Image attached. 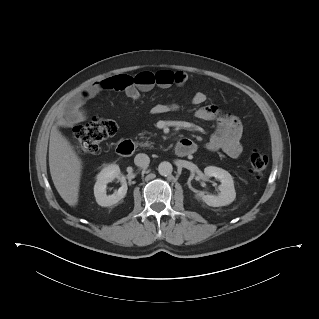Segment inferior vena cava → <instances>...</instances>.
I'll list each match as a JSON object with an SVG mask.
<instances>
[{
    "label": "inferior vena cava",
    "mask_w": 319,
    "mask_h": 319,
    "mask_svg": "<svg viewBox=\"0 0 319 319\" xmlns=\"http://www.w3.org/2000/svg\"><path fill=\"white\" fill-rule=\"evenodd\" d=\"M134 163L139 167L147 168L150 163V158L144 153H139L135 156Z\"/></svg>",
    "instance_id": "inferior-vena-cava-1"
}]
</instances>
